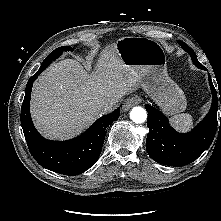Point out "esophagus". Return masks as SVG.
Listing matches in <instances>:
<instances>
[{
    "mask_svg": "<svg viewBox=\"0 0 221 221\" xmlns=\"http://www.w3.org/2000/svg\"><path fill=\"white\" fill-rule=\"evenodd\" d=\"M140 102V99L138 97H129L124 100L122 105L123 111H128L130 108H132L134 105L138 104Z\"/></svg>",
    "mask_w": 221,
    "mask_h": 221,
    "instance_id": "obj_1",
    "label": "esophagus"
}]
</instances>
